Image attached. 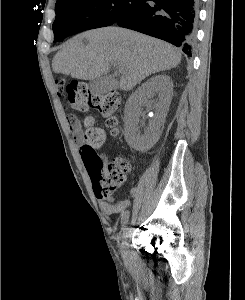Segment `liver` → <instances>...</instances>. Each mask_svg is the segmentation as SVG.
I'll return each instance as SVG.
<instances>
[{"instance_id":"6515ba94","label":"liver","mask_w":245,"mask_h":300,"mask_svg":"<svg viewBox=\"0 0 245 300\" xmlns=\"http://www.w3.org/2000/svg\"><path fill=\"white\" fill-rule=\"evenodd\" d=\"M181 53L170 44L119 27L83 32L54 56L55 73L81 80L106 75L112 66L122 74L119 88L129 91L151 74L176 67Z\"/></svg>"}]
</instances>
